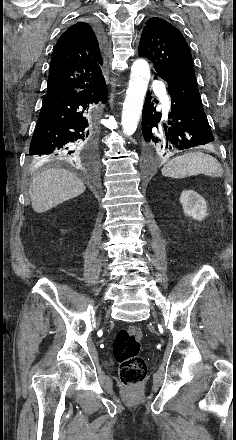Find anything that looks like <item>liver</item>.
I'll use <instances>...</instances> for the list:
<instances>
[{
    "label": "liver",
    "mask_w": 236,
    "mask_h": 440,
    "mask_svg": "<svg viewBox=\"0 0 236 440\" xmlns=\"http://www.w3.org/2000/svg\"><path fill=\"white\" fill-rule=\"evenodd\" d=\"M85 190L84 183L73 173L64 169H47L33 178L29 195L33 210L43 213Z\"/></svg>",
    "instance_id": "liver-1"
}]
</instances>
